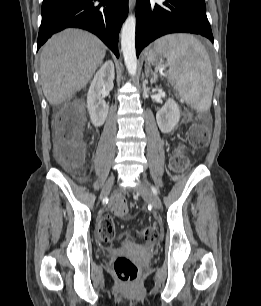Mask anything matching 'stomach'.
<instances>
[{
	"label": "stomach",
	"mask_w": 261,
	"mask_h": 306,
	"mask_svg": "<svg viewBox=\"0 0 261 306\" xmlns=\"http://www.w3.org/2000/svg\"><path fill=\"white\" fill-rule=\"evenodd\" d=\"M164 55L159 53L156 48H150L146 53V62L148 64L159 63Z\"/></svg>",
	"instance_id": "0dacf381"
}]
</instances>
